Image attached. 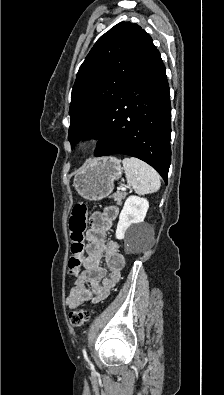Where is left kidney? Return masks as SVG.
Returning <instances> with one entry per match:
<instances>
[{
	"mask_svg": "<svg viewBox=\"0 0 224 395\" xmlns=\"http://www.w3.org/2000/svg\"><path fill=\"white\" fill-rule=\"evenodd\" d=\"M148 208L149 202L146 198L129 196L119 216L116 238L124 239L127 230L135 232L138 237L141 236L143 234L141 223L144 222Z\"/></svg>",
	"mask_w": 224,
	"mask_h": 395,
	"instance_id": "5707ae66",
	"label": "left kidney"
}]
</instances>
